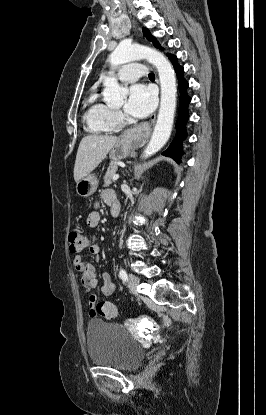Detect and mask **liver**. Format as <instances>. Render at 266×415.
<instances>
[{"label": "liver", "mask_w": 266, "mask_h": 415, "mask_svg": "<svg viewBox=\"0 0 266 415\" xmlns=\"http://www.w3.org/2000/svg\"><path fill=\"white\" fill-rule=\"evenodd\" d=\"M118 137L110 135H87L82 138L76 155L74 165V180L90 174L106 157Z\"/></svg>", "instance_id": "obj_1"}]
</instances>
